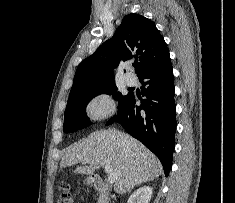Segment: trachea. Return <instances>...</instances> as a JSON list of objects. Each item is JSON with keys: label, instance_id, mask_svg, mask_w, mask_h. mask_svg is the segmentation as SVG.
Segmentation results:
<instances>
[{"label": "trachea", "instance_id": "1", "mask_svg": "<svg viewBox=\"0 0 235 203\" xmlns=\"http://www.w3.org/2000/svg\"><path fill=\"white\" fill-rule=\"evenodd\" d=\"M137 66V64H134V67H136Z\"/></svg>", "mask_w": 235, "mask_h": 203}]
</instances>
